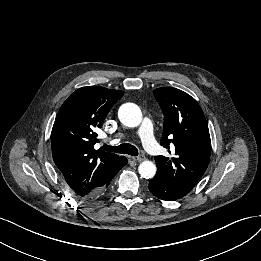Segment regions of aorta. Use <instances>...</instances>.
Wrapping results in <instances>:
<instances>
[{"label": "aorta", "instance_id": "1", "mask_svg": "<svg viewBox=\"0 0 261 261\" xmlns=\"http://www.w3.org/2000/svg\"><path fill=\"white\" fill-rule=\"evenodd\" d=\"M118 117L122 124L127 127H137L142 121V112L134 103H125L120 106ZM156 165L151 161H143L139 167V174L146 179L153 178L156 174Z\"/></svg>", "mask_w": 261, "mask_h": 261}]
</instances>
